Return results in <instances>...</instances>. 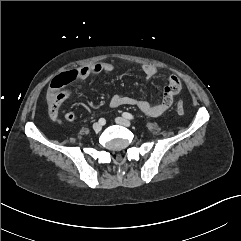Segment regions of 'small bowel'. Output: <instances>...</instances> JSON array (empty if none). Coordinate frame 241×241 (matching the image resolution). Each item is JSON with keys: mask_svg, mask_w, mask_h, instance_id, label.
<instances>
[{"mask_svg": "<svg viewBox=\"0 0 241 241\" xmlns=\"http://www.w3.org/2000/svg\"><path fill=\"white\" fill-rule=\"evenodd\" d=\"M113 70V64L109 62H99L80 67L77 70L72 71V73L75 75V79H85L90 76L109 73ZM156 72V68L152 65H144L142 67V73L147 79L152 78ZM181 88V80L176 75H170L168 83L164 88L162 99L158 103H151L147 100L130 96L113 95L110 98L109 104L112 108H117L123 105L134 106L149 117H158L169 109L175 96L180 92ZM70 95V90L63 88L58 89L55 92H49L47 96L48 115L53 122L58 121L59 108L62 103L70 97ZM75 118L76 115L72 111H67L64 114V119L68 122H73Z\"/></svg>", "mask_w": 241, "mask_h": 241, "instance_id": "1", "label": "small bowel"}]
</instances>
